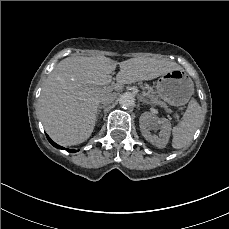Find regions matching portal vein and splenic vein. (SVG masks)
Returning a JSON list of instances; mask_svg holds the SVG:
<instances>
[{"label":"portal vein and splenic vein","mask_w":229,"mask_h":229,"mask_svg":"<svg viewBox=\"0 0 229 229\" xmlns=\"http://www.w3.org/2000/svg\"><path fill=\"white\" fill-rule=\"evenodd\" d=\"M113 86H114V85L109 86V87H110V89H112V88H113Z\"/></svg>","instance_id":"obj_1"}]
</instances>
